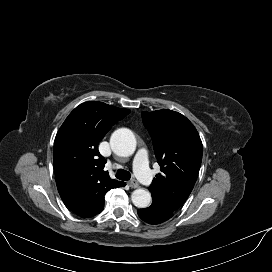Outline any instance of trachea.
<instances>
[{"mask_svg":"<svg viewBox=\"0 0 272 272\" xmlns=\"http://www.w3.org/2000/svg\"><path fill=\"white\" fill-rule=\"evenodd\" d=\"M116 178L128 181L131 178V174L129 171H126L124 169H118L116 172Z\"/></svg>","mask_w":272,"mask_h":272,"instance_id":"obj_1","label":"trachea"}]
</instances>
